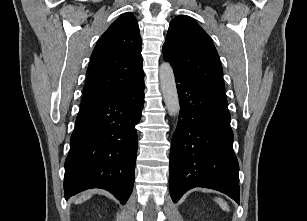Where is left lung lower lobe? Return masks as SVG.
I'll return each mask as SVG.
<instances>
[{
	"label": "left lung lower lobe",
	"mask_w": 307,
	"mask_h": 221,
	"mask_svg": "<svg viewBox=\"0 0 307 221\" xmlns=\"http://www.w3.org/2000/svg\"><path fill=\"white\" fill-rule=\"evenodd\" d=\"M180 114L170 150L169 187L173 202L194 187L240 200L238 161L227 102L196 86L174 69Z\"/></svg>",
	"instance_id": "1"
}]
</instances>
